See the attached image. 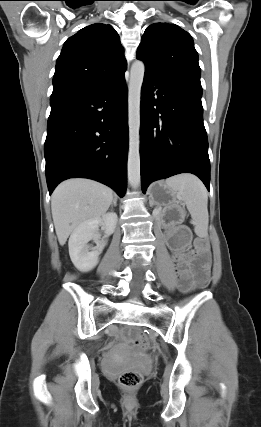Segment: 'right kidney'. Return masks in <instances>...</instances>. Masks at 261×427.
<instances>
[{
    "label": "right kidney",
    "mask_w": 261,
    "mask_h": 427,
    "mask_svg": "<svg viewBox=\"0 0 261 427\" xmlns=\"http://www.w3.org/2000/svg\"><path fill=\"white\" fill-rule=\"evenodd\" d=\"M117 221V214L109 212L101 217L83 222L73 230L68 246L70 258L77 269L87 272L98 264L99 255L106 244L105 240H100L99 226H104L107 237L114 232ZM92 239L96 242L97 247L91 249L87 243Z\"/></svg>",
    "instance_id": "ca27d5eb"
}]
</instances>
